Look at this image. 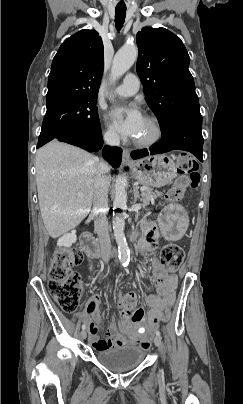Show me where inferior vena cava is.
<instances>
[{"label": "inferior vena cava", "instance_id": "602c4592", "mask_svg": "<svg viewBox=\"0 0 243 404\" xmlns=\"http://www.w3.org/2000/svg\"><path fill=\"white\" fill-rule=\"evenodd\" d=\"M106 144L109 146H119V136H104ZM109 166L107 162H99L97 174L94 178V196H93V216L95 232L99 238L101 258L103 262H109L111 256V242L108 230V190L111 176H109Z\"/></svg>", "mask_w": 243, "mask_h": 404}]
</instances>
